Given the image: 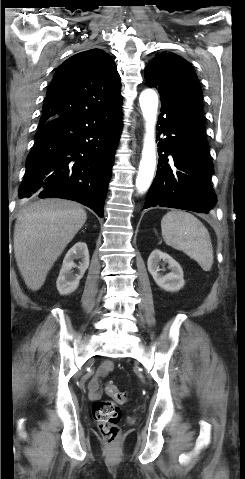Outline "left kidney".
Returning a JSON list of instances; mask_svg holds the SVG:
<instances>
[{
    "label": "left kidney",
    "mask_w": 245,
    "mask_h": 479,
    "mask_svg": "<svg viewBox=\"0 0 245 479\" xmlns=\"http://www.w3.org/2000/svg\"><path fill=\"white\" fill-rule=\"evenodd\" d=\"M161 260L168 263L170 273L163 275L160 273L159 264ZM148 271L152 275L156 284L169 292H177L183 288L185 282L183 278V270L178 262L174 260L169 254L160 250L151 252L147 261Z\"/></svg>",
    "instance_id": "obj_1"
}]
</instances>
